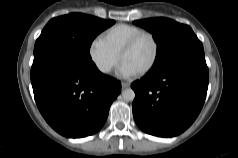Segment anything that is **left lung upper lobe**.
I'll return each mask as SVG.
<instances>
[{"label":"left lung upper lobe","mask_w":238,"mask_h":158,"mask_svg":"<svg viewBox=\"0 0 238 158\" xmlns=\"http://www.w3.org/2000/svg\"><path fill=\"white\" fill-rule=\"evenodd\" d=\"M153 34L157 43V56L152 69L178 54L193 48L203 47L192 29L168 18H150L134 21Z\"/></svg>","instance_id":"left-lung-upper-lobe-1"}]
</instances>
